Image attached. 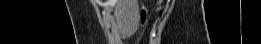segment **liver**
<instances>
[{
	"mask_svg": "<svg viewBox=\"0 0 261 44\" xmlns=\"http://www.w3.org/2000/svg\"><path fill=\"white\" fill-rule=\"evenodd\" d=\"M114 16L123 37L132 35L139 24L138 0H118Z\"/></svg>",
	"mask_w": 261,
	"mask_h": 44,
	"instance_id": "6515ba94",
	"label": "liver"
}]
</instances>
